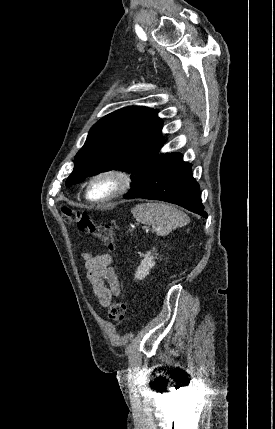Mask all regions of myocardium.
Returning a JSON list of instances; mask_svg holds the SVG:
<instances>
[{"mask_svg": "<svg viewBox=\"0 0 275 429\" xmlns=\"http://www.w3.org/2000/svg\"><path fill=\"white\" fill-rule=\"evenodd\" d=\"M105 177L113 179L115 183L113 190L104 197L92 198L90 195V190L93 183L98 179ZM131 183V175L126 169L117 166L104 168L95 172L89 178L85 189V197L87 200L93 203H106L125 194L129 190Z\"/></svg>", "mask_w": 275, "mask_h": 429, "instance_id": "1", "label": "myocardium"}]
</instances>
